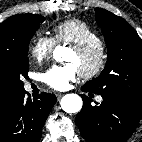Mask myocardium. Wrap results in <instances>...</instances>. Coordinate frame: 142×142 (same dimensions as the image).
Returning a JSON list of instances; mask_svg holds the SVG:
<instances>
[{"instance_id": "1", "label": "myocardium", "mask_w": 142, "mask_h": 142, "mask_svg": "<svg viewBox=\"0 0 142 142\" xmlns=\"http://www.w3.org/2000/svg\"><path fill=\"white\" fill-rule=\"evenodd\" d=\"M73 50L82 60L89 62L88 66L79 69L83 78H94L104 70L108 55L103 44L73 46Z\"/></svg>"}]
</instances>
